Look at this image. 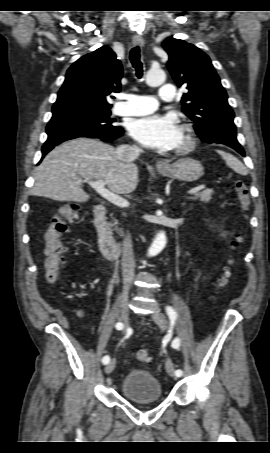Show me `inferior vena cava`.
<instances>
[{"label": "inferior vena cava", "mask_w": 270, "mask_h": 453, "mask_svg": "<svg viewBox=\"0 0 270 453\" xmlns=\"http://www.w3.org/2000/svg\"><path fill=\"white\" fill-rule=\"evenodd\" d=\"M143 150L135 145H120L116 149L117 158L122 162H132L139 157ZM122 272L129 278L134 276L135 260L132 248L131 235L126 234L122 243Z\"/></svg>", "instance_id": "1"}]
</instances>
